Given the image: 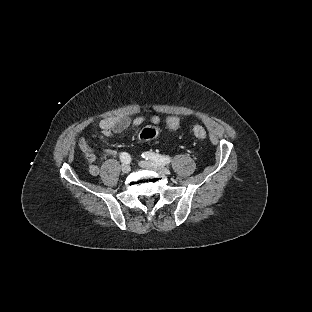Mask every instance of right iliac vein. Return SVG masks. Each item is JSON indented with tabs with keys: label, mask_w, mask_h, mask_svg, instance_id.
<instances>
[{
	"label": "right iliac vein",
	"mask_w": 312,
	"mask_h": 312,
	"mask_svg": "<svg viewBox=\"0 0 312 312\" xmlns=\"http://www.w3.org/2000/svg\"><path fill=\"white\" fill-rule=\"evenodd\" d=\"M121 170L124 174H127L131 171V167L128 164H123Z\"/></svg>",
	"instance_id": "63e3f726"
}]
</instances>
